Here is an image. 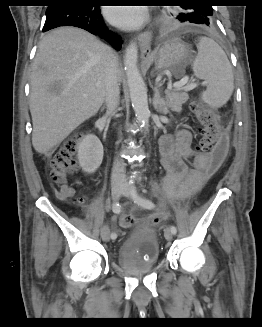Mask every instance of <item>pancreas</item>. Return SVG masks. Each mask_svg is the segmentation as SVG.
<instances>
[{"label": "pancreas", "mask_w": 262, "mask_h": 327, "mask_svg": "<svg viewBox=\"0 0 262 327\" xmlns=\"http://www.w3.org/2000/svg\"><path fill=\"white\" fill-rule=\"evenodd\" d=\"M168 107L172 111L181 112L182 104L188 100V94L179 90H168L166 92Z\"/></svg>", "instance_id": "obj_1"}]
</instances>
